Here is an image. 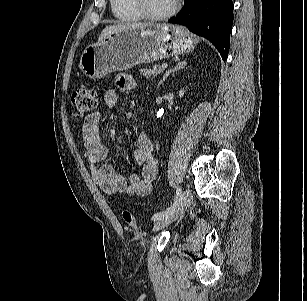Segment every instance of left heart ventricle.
Returning a JSON list of instances; mask_svg holds the SVG:
<instances>
[{
	"mask_svg": "<svg viewBox=\"0 0 307 301\" xmlns=\"http://www.w3.org/2000/svg\"><path fill=\"white\" fill-rule=\"evenodd\" d=\"M146 8L155 14H160L168 11L174 0H144Z\"/></svg>",
	"mask_w": 307,
	"mask_h": 301,
	"instance_id": "1",
	"label": "left heart ventricle"
}]
</instances>
